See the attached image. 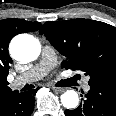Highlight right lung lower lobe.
<instances>
[{
	"instance_id": "98d812e1",
	"label": "right lung lower lobe",
	"mask_w": 116,
	"mask_h": 116,
	"mask_svg": "<svg viewBox=\"0 0 116 116\" xmlns=\"http://www.w3.org/2000/svg\"><path fill=\"white\" fill-rule=\"evenodd\" d=\"M38 89L19 93L11 91L0 98V116H30Z\"/></svg>"
}]
</instances>
